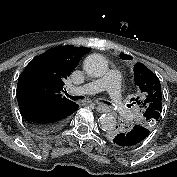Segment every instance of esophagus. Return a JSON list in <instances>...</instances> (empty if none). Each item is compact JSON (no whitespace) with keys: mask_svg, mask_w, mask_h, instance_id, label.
<instances>
[{"mask_svg":"<svg viewBox=\"0 0 177 177\" xmlns=\"http://www.w3.org/2000/svg\"><path fill=\"white\" fill-rule=\"evenodd\" d=\"M95 106H96V109L101 112H106L109 110V108L106 105H103L100 103H96Z\"/></svg>","mask_w":177,"mask_h":177,"instance_id":"34e87169","label":"esophagus"}]
</instances>
